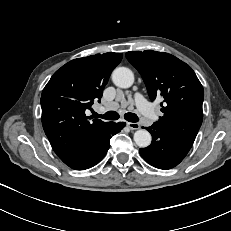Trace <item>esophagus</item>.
Listing matches in <instances>:
<instances>
[{
    "instance_id": "1",
    "label": "esophagus",
    "mask_w": 231,
    "mask_h": 231,
    "mask_svg": "<svg viewBox=\"0 0 231 231\" xmlns=\"http://www.w3.org/2000/svg\"><path fill=\"white\" fill-rule=\"evenodd\" d=\"M127 127L131 130H137L140 128V125L138 123L127 122Z\"/></svg>"
}]
</instances>
